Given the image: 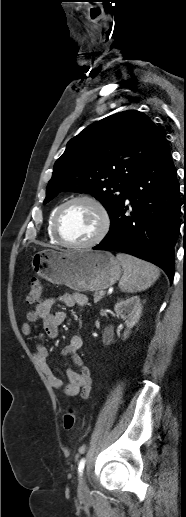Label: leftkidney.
<instances>
[{"label": "left kidney", "mask_w": 186, "mask_h": 517, "mask_svg": "<svg viewBox=\"0 0 186 517\" xmlns=\"http://www.w3.org/2000/svg\"><path fill=\"white\" fill-rule=\"evenodd\" d=\"M114 310L125 320L127 330L124 332L123 337L126 339L130 333V329L133 328L140 319L142 311L140 297L133 296L126 300H121L115 304Z\"/></svg>", "instance_id": "1"}]
</instances>
